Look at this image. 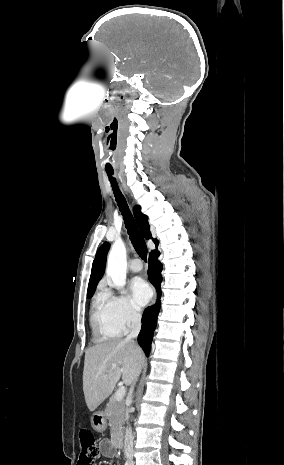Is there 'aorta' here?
Listing matches in <instances>:
<instances>
[{
  "label": "aorta",
  "instance_id": "aorta-1",
  "mask_svg": "<svg viewBox=\"0 0 284 465\" xmlns=\"http://www.w3.org/2000/svg\"><path fill=\"white\" fill-rule=\"evenodd\" d=\"M127 257L126 248L121 240L113 243L107 264V276L117 286L123 287L126 283Z\"/></svg>",
  "mask_w": 284,
  "mask_h": 465
}]
</instances>
